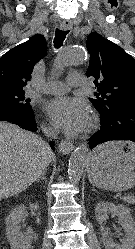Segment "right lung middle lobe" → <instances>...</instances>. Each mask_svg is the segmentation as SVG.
Segmentation results:
<instances>
[{"mask_svg": "<svg viewBox=\"0 0 135 249\" xmlns=\"http://www.w3.org/2000/svg\"><path fill=\"white\" fill-rule=\"evenodd\" d=\"M25 91H0V102L15 104L23 109L32 110L30 99L24 97Z\"/></svg>", "mask_w": 135, "mask_h": 249, "instance_id": "obj_1", "label": "right lung middle lobe"}]
</instances>
